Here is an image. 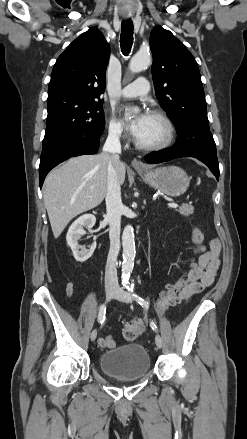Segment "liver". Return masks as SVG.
Here are the masks:
<instances>
[{
  "instance_id": "6515ba94",
  "label": "liver",
  "mask_w": 247,
  "mask_h": 439,
  "mask_svg": "<svg viewBox=\"0 0 247 439\" xmlns=\"http://www.w3.org/2000/svg\"><path fill=\"white\" fill-rule=\"evenodd\" d=\"M110 157L106 152L74 157L48 174L43 199L55 238L74 217L101 204L107 192ZM125 173V164L120 162L117 166L120 184L125 180Z\"/></svg>"
}]
</instances>
